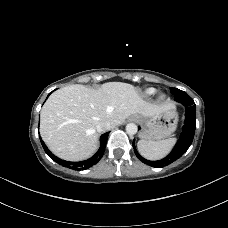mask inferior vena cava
Wrapping results in <instances>:
<instances>
[{"mask_svg": "<svg viewBox=\"0 0 228 228\" xmlns=\"http://www.w3.org/2000/svg\"><path fill=\"white\" fill-rule=\"evenodd\" d=\"M111 124L109 122H102L98 125L97 130L99 132L108 131L111 129Z\"/></svg>", "mask_w": 228, "mask_h": 228, "instance_id": "602c4592", "label": "inferior vena cava"}]
</instances>
